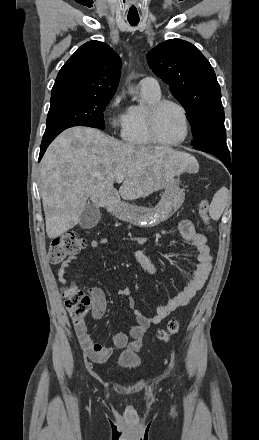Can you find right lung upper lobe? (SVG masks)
<instances>
[{"instance_id":"obj_1","label":"right lung upper lobe","mask_w":259,"mask_h":440,"mask_svg":"<svg viewBox=\"0 0 259 440\" xmlns=\"http://www.w3.org/2000/svg\"><path fill=\"white\" fill-rule=\"evenodd\" d=\"M121 66V59L109 45L99 41L87 42L60 69L51 95L84 93L113 96Z\"/></svg>"}]
</instances>
